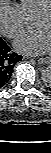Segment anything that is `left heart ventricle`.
<instances>
[{
	"mask_svg": "<svg viewBox=\"0 0 51 153\" xmlns=\"http://www.w3.org/2000/svg\"><path fill=\"white\" fill-rule=\"evenodd\" d=\"M34 26L38 29H44L51 33V18H42L34 21Z\"/></svg>",
	"mask_w": 51,
	"mask_h": 153,
	"instance_id": "obj_1",
	"label": "left heart ventricle"
}]
</instances>
